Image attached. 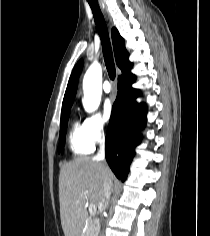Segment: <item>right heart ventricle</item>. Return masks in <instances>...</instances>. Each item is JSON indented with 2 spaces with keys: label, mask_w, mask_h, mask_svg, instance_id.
Returning <instances> with one entry per match:
<instances>
[{
  "label": "right heart ventricle",
  "mask_w": 210,
  "mask_h": 236,
  "mask_svg": "<svg viewBox=\"0 0 210 236\" xmlns=\"http://www.w3.org/2000/svg\"><path fill=\"white\" fill-rule=\"evenodd\" d=\"M68 144L74 155L81 156L93 151V143L88 139L84 127L78 118H73L68 133Z\"/></svg>",
  "instance_id": "obj_1"
}]
</instances>
